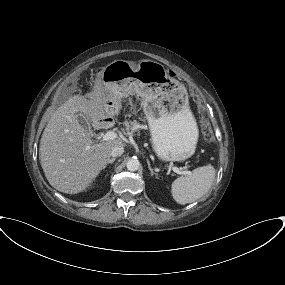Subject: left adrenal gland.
Instances as JSON below:
<instances>
[{
  "mask_svg": "<svg viewBox=\"0 0 285 285\" xmlns=\"http://www.w3.org/2000/svg\"><path fill=\"white\" fill-rule=\"evenodd\" d=\"M147 164H148V169H149L151 175L158 177V174L156 172H154L153 169L151 168V164H150V161L148 159H147Z\"/></svg>",
  "mask_w": 285,
  "mask_h": 285,
  "instance_id": "obj_1",
  "label": "left adrenal gland"
}]
</instances>
